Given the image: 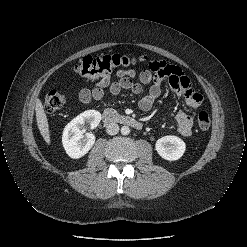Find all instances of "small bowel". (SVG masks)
I'll return each instance as SVG.
<instances>
[{
    "label": "small bowel",
    "mask_w": 247,
    "mask_h": 247,
    "mask_svg": "<svg viewBox=\"0 0 247 247\" xmlns=\"http://www.w3.org/2000/svg\"><path fill=\"white\" fill-rule=\"evenodd\" d=\"M117 80L112 81L110 76H105L98 80L93 89H83L79 93V99L86 104L92 99L100 100L104 96L105 89L111 94L117 95L123 90H129L139 94L143 86L150 85L148 93L142 97L138 103L142 111H149L155 100L161 95V85L165 78L171 90L179 97H183L185 103L191 108H198L203 101L200 93L195 91L187 76L177 66L171 65L165 61L153 60L149 63V69L137 73L135 70H120L116 73ZM138 81H134V78ZM178 131L182 136L188 137L192 134L193 118L180 110L175 116Z\"/></svg>",
    "instance_id": "obj_1"
}]
</instances>
